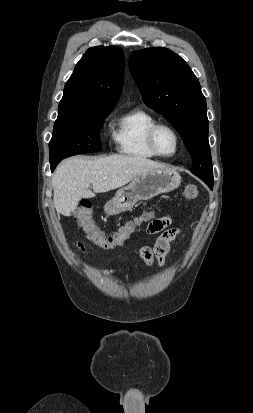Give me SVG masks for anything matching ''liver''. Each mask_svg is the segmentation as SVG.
<instances>
[{
  "instance_id": "obj_1",
  "label": "liver",
  "mask_w": 253,
  "mask_h": 413,
  "mask_svg": "<svg viewBox=\"0 0 253 413\" xmlns=\"http://www.w3.org/2000/svg\"><path fill=\"white\" fill-rule=\"evenodd\" d=\"M167 168L139 156L111 155L95 159L74 157L63 161L52 176L54 205L60 214L69 216L82 198H93L123 187L138 175ZM90 184L93 191L89 189Z\"/></svg>"
}]
</instances>
